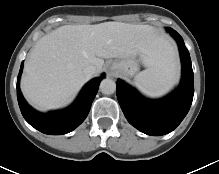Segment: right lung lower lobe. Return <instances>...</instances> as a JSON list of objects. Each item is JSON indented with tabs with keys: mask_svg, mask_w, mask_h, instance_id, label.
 Instances as JSON below:
<instances>
[{
	"mask_svg": "<svg viewBox=\"0 0 219 174\" xmlns=\"http://www.w3.org/2000/svg\"><path fill=\"white\" fill-rule=\"evenodd\" d=\"M22 69L23 62L17 79V99L21 113L32 127L49 135H62L69 133L83 122L90 111L100 81L103 79V76H100L88 82L82 89L76 101L68 108L42 114L30 107L22 96L19 88V79Z\"/></svg>",
	"mask_w": 219,
	"mask_h": 174,
	"instance_id": "1",
	"label": "right lung lower lobe"
}]
</instances>
